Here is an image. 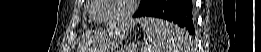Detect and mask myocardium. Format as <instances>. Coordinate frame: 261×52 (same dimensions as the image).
I'll use <instances>...</instances> for the list:
<instances>
[{
    "mask_svg": "<svg viewBox=\"0 0 261 52\" xmlns=\"http://www.w3.org/2000/svg\"><path fill=\"white\" fill-rule=\"evenodd\" d=\"M126 1H127V8L119 17L111 21H103L98 18V12L103 8L104 2L102 0H95L94 2L97 4V6L92 11V17L94 21L104 25H112L125 21L134 13L136 4L138 2L137 0H126Z\"/></svg>",
    "mask_w": 261,
    "mask_h": 52,
    "instance_id": "obj_1",
    "label": "myocardium"
}]
</instances>
